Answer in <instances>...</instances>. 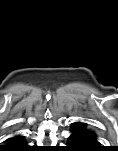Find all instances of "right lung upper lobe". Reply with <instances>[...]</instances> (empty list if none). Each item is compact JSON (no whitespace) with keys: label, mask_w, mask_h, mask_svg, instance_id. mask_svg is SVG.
I'll return each mask as SVG.
<instances>
[{"label":"right lung upper lobe","mask_w":118,"mask_h":151,"mask_svg":"<svg viewBox=\"0 0 118 151\" xmlns=\"http://www.w3.org/2000/svg\"><path fill=\"white\" fill-rule=\"evenodd\" d=\"M22 140H23L22 136L16 135L9 141V143H10L9 145H3L0 148H1V150H6L5 147H8V149L16 148L14 145L21 142Z\"/></svg>","instance_id":"obj_1"}]
</instances>
